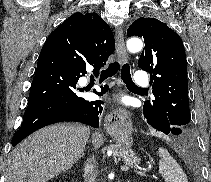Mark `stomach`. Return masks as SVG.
Masks as SVG:
<instances>
[{
	"instance_id": "1",
	"label": "stomach",
	"mask_w": 211,
	"mask_h": 182,
	"mask_svg": "<svg viewBox=\"0 0 211 182\" xmlns=\"http://www.w3.org/2000/svg\"><path fill=\"white\" fill-rule=\"evenodd\" d=\"M111 135L119 145L127 149L132 145L131 131L128 129L112 130Z\"/></svg>"
}]
</instances>
